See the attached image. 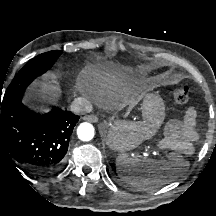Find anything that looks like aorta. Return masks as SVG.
Segmentation results:
<instances>
[{
  "instance_id": "762f6f07",
  "label": "aorta",
  "mask_w": 216,
  "mask_h": 216,
  "mask_svg": "<svg viewBox=\"0 0 216 216\" xmlns=\"http://www.w3.org/2000/svg\"><path fill=\"white\" fill-rule=\"evenodd\" d=\"M78 138L82 141H90L94 137V127L92 124L84 122L77 128Z\"/></svg>"
}]
</instances>
